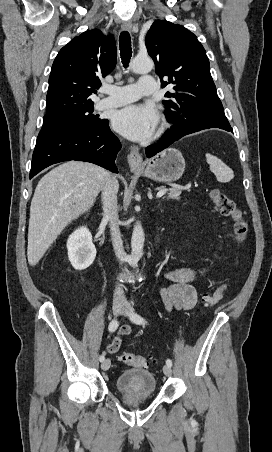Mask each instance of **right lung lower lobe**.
<instances>
[{
	"label": "right lung lower lobe",
	"mask_w": 272,
	"mask_h": 452,
	"mask_svg": "<svg viewBox=\"0 0 272 452\" xmlns=\"http://www.w3.org/2000/svg\"><path fill=\"white\" fill-rule=\"evenodd\" d=\"M121 148L108 120L91 127L68 124L43 126L33 152L29 178L44 168L63 161H86L118 173L116 155Z\"/></svg>",
	"instance_id": "1"
}]
</instances>
